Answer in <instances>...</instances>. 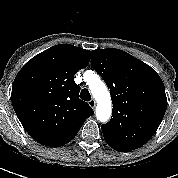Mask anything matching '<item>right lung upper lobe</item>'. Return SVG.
Returning <instances> with one entry per match:
<instances>
[{
  "label": "right lung upper lobe",
  "instance_id": "right-lung-upper-lobe-1",
  "mask_svg": "<svg viewBox=\"0 0 178 178\" xmlns=\"http://www.w3.org/2000/svg\"><path fill=\"white\" fill-rule=\"evenodd\" d=\"M90 57L89 50L59 44L33 57L17 74L12 105L25 130L39 143L67 144L94 114L88 103L78 98L80 88L74 81Z\"/></svg>",
  "mask_w": 178,
  "mask_h": 178
}]
</instances>
